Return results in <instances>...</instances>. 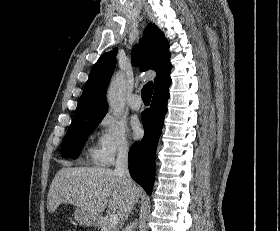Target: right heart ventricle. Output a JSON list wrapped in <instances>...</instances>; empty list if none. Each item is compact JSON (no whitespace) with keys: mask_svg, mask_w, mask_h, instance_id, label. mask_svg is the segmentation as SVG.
I'll list each match as a JSON object with an SVG mask.
<instances>
[{"mask_svg":"<svg viewBox=\"0 0 280 231\" xmlns=\"http://www.w3.org/2000/svg\"><path fill=\"white\" fill-rule=\"evenodd\" d=\"M86 158L91 163L97 164L98 160H97V156H96V148H93V147L88 148V150L86 152Z\"/></svg>","mask_w":280,"mask_h":231,"instance_id":"1","label":"right heart ventricle"}]
</instances>
